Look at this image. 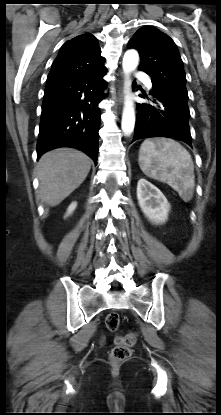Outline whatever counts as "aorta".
<instances>
[{"label": "aorta", "mask_w": 221, "mask_h": 415, "mask_svg": "<svg viewBox=\"0 0 221 415\" xmlns=\"http://www.w3.org/2000/svg\"><path fill=\"white\" fill-rule=\"evenodd\" d=\"M139 62V54L136 50L130 49L127 50L123 57L122 67L123 71L125 73V101H124V107H123V114H122V122H121V128L123 133L126 136H129L135 126V111H134V104L133 101L130 98V79L129 75L132 71H134L138 65Z\"/></svg>", "instance_id": "obj_1"}]
</instances>
